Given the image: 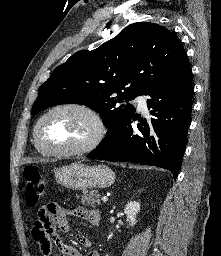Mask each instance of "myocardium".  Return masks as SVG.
<instances>
[{
  "label": "myocardium",
  "mask_w": 221,
  "mask_h": 256,
  "mask_svg": "<svg viewBox=\"0 0 221 256\" xmlns=\"http://www.w3.org/2000/svg\"><path fill=\"white\" fill-rule=\"evenodd\" d=\"M65 109H75L85 113L92 120L94 124L93 135L87 142L74 148H52V147L46 146L42 142L41 136H40V130L43 122L51 114L55 113L56 111L65 110ZM106 134H107V126L101 114L93 107L80 102H68V103H62V104L53 106L39 118V120L37 121L34 127V132H33L35 144L41 151H43L46 154L60 155V156H73V155H81V154L89 153L101 144Z\"/></svg>",
  "instance_id": "myocardium-1"
}]
</instances>
